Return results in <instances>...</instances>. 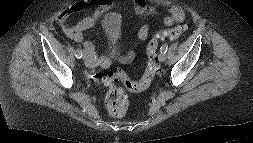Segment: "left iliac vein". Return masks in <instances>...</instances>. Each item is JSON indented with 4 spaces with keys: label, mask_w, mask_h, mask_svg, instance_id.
I'll list each match as a JSON object with an SVG mask.
<instances>
[{
    "label": "left iliac vein",
    "mask_w": 253,
    "mask_h": 143,
    "mask_svg": "<svg viewBox=\"0 0 253 143\" xmlns=\"http://www.w3.org/2000/svg\"><path fill=\"white\" fill-rule=\"evenodd\" d=\"M166 60V55L164 54V53H161L160 55H159V61L160 62H164Z\"/></svg>",
    "instance_id": "1"
}]
</instances>
